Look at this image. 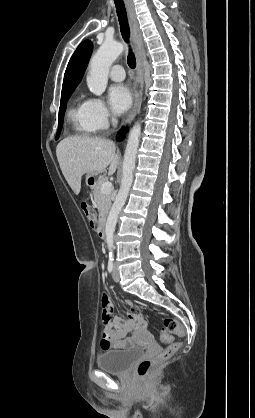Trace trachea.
<instances>
[{"instance_id": "1", "label": "trachea", "mask_w": 255, "mask_h": 418, "mask_svg": "<svg viewBox=\"0 0 255 418\" xmlns=\"http://www.w3.org/2000/svg\"><path fill=\"white\" fill-rule=\"evenodd\" d=\"M116 12L120 23L121 35L126 43H129L130 31L126 15V9L123 0H114ZM127 63L131 69L136 67V59L134 53L129 49Z\"/></svg>"}]
</instances>
